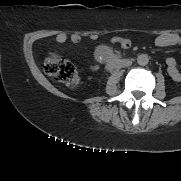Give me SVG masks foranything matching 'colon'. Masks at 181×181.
I'll return each instance as SVG.
<instances>
[{
	"label": "colon",
	"mask_w": 181,
	"mask_h": 181,
	"mask_svg": "<svg viewBox=\"0 0 181 181\" xmlns=\"http://www.w3.org/2000/svg\"><path fill=\"white\" fill-rule=\"evenodd\" d=\"M44 70L49 76L70 88H76L80 84V76L75 65L57 54L45 58Z\"/></svg>",
	"instance_id": "obj_1"
}]
</instances>
